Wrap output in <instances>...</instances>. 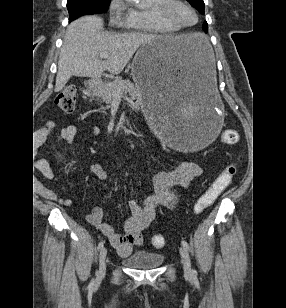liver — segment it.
Wrapping results in <instances>:
<instances>
[{"label": "liver", "mask_w": 286, "mask_h": 308, "mask_svg": "<svg viewBox=\"0 0 286 308\" xmlns=\"http://www.w3.org/2000/svg\"><path fill=\"white\" fill-rule=\"evenodd\" d=\"M169 39L173 48L181 55L192 58L206 37L201 33L178 36L128 32L110 34L103 32V19L84 16L67 27L58 60L55 92L61 91L72 76L100 79L104 71L115 75L126 67L136 50L143 44L160 38ZM102 52H108L106 60H100ZM207 56V46L201 50L200 58Z\"/></svg>", "instance_id": "obj_1"}]
</instances>
